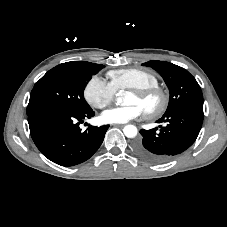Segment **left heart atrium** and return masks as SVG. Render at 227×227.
Listing matches in <instances>:
<instances>
[{
    "mask_svg": "<svg viewBox=\"0 0 227 227\" xmlns=\"http://www.w3.org/2000/svg\"><path fill=\"white\" fill-rule=\"evenodd\" d=\"M142 113L143 111L139 106L131 104L110 108L102 113L101 119L103 122L111 124L126 123L140 117Z\"/></svg>",
    "mask_w": 227,
    "mask_h": 227,
    "instance_id": "left-heart-atrium-1",
    "label": "left heart atrium"
}]
</instances>
